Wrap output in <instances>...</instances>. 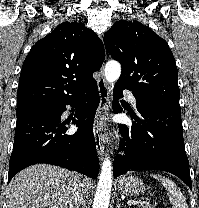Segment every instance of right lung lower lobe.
<instances>
[{"label": "right lung lower lobe", "mask_w": 199, "mask_h": 208, "mask_svg": "<svg viewBox=\"0 0 199 208\" xmlns=\"http://www.w3.org/2000/svg\"><path fill=\"white\" fill-rule=\"evenodd\" d=\"M99 102L95 82L77 96L17 116L8 183L19 171L37 163L57 165L95 179L99 172V159L93 121ZM66 105L77 108L73 124L79 129L72 135L66 134V123L61 122Z\"/></svg>", "instance_id": "right-lung-lower-lobe-1"}]
</instances>
